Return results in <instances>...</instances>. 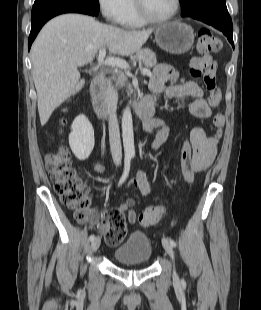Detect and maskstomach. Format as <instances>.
<instances>
[{
	"mask_svg": "<svg viewBox=\"0 0 261 310\" xmlns=\"http://www.w3.org/2000/svg\"><path fill=\"white\" fill-rule=\"evenodd\" d=\"M155 41L164 51L184 54L194 42L193 29L185 23L174 21L159 26L155 31Z\"/></svg>",
	"mask_w": 261,
	"mask_h": 310,
	"instance_id": "stomach-1",
	"label": "stomach"
}]
</instances>
